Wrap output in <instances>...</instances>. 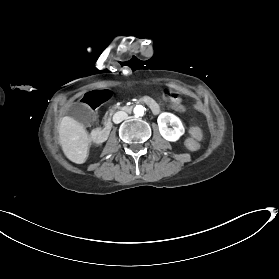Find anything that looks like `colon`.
<instances>
[{
	"label": "colon",
	"mask_w": 279,
	"mask_h": 279,
	"mask_svg": "<svg viewBox=\"0 0 279 279\" xmlns=\"http://www.w3.org/2000/svg\"><path fill=\"white\" fill-rule=\"evenodd\" d=\"M190 134L194 139H200L202 137V132L200 128L195 126L190 128Z\"/></svg>",
	"instance_id": "obj_1"
}]
</instances>
